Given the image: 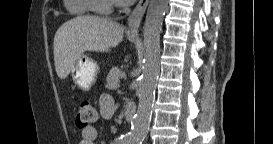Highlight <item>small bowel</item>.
Returning a JSON list of instances; mask_svg holds the SVG:
<instances>
[{"instance_id": "c3829d8e", "label": "small bowel", "mask_w": 273, "mask_h": 144, "mask_svg": "<svg viewBox=\"0 0 273 144\" xmlns=\"http://www.w3.org/2000/svg\"><path fill=\"white\" fill-rule=\"evenodd\" d=\"M99 109L101 117L105 120H109L114 116L117 110V105L111 96L104 94L100 97ZM97 137V129L94 126H89L82 129L79 144H94Z\"/></svg>"}]
</instances>
